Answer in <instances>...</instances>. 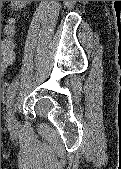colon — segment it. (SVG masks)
I'll use <instances>...</instances> for the list:
<instances>
[{"instance_id":"5ec220e1","label":"colon","mask_w":121,"mask_h":169,"mask_svg":"<svg viewBox=\"0 0 121 169\" xmlns=\"http://www.w3.org/2000/svg\"><path fill=\"white\" fill-rule=\"evenodd\" d=\"M14 33V20L10 19L4 26L5 37L1 42V71L6 70L14 60Z\"/></svg>"}]
</instances>
